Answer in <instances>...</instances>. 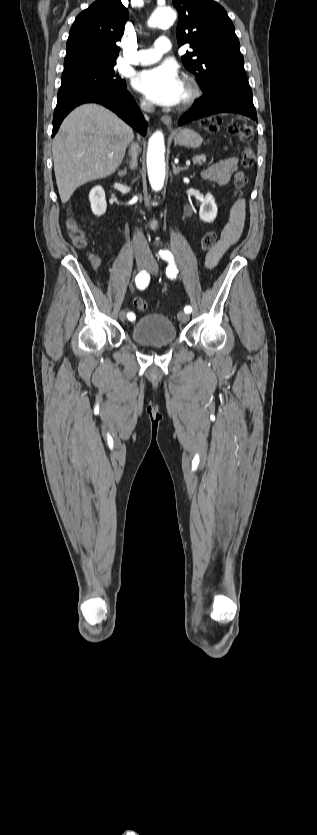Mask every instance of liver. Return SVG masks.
<instances>
[{
    "mask_svg": "<svg viewBox=\"0 0 317 835\" xmlns=\"http://www.w3.org/2000/svg\"><path fill=\"white\" fill-rule=\"evenodd\" d=\"M133 138L132 128L100 105L84 104L74 109L52 142L62 203L82 184L113 174Z\"/></svg>",
    "mask_w": 317,
    "mask_h": 835,
    "instance_id": "obj_1",
    "label": "liver"
}]
</instances>
